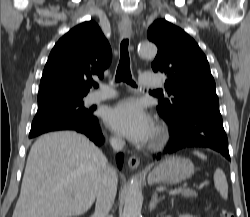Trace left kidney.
<instances>
[{"label": "left kidney", "mask_w": 250, "mask_h": 217, "mask_svg": "<svg viewBox=\"0 0 250 217\" xmlns=\"http://www.w3.org/2000/svg\"><path fill=\"white\" fill-rule=\"evenodd\" d=\"M179 217H193L192 215H180Z\"/></svg>", "instance_id": "1"}]
</instances>
